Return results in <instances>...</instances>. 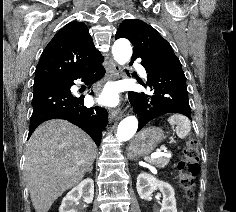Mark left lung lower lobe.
I'll use <instances>...</instances> for the list:
<instances>
[{"mask_svg": "<svg viewBox=\"0 0 236 212\" xmlns=\"http://www.w3.org/2000/svg\"><path fill=\"white\" fill-rule=\"evenodd\" d=\"M136 58H132L133 62ZM147 72L151 95L129 92L128 98L139 119L138 131L151 120L167 113H180L191 119L186 77L180 61L142 63ZM146 87L144 83H141Z\"/></svg>", "mask_w": 236, "mask_h": 212, "instance_id": "obj_1", "label": "left lung lower lobe"}]
</instances>
